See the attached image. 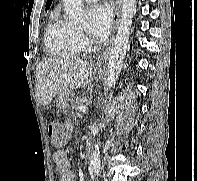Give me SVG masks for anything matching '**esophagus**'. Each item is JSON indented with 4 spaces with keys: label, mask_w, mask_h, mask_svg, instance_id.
<instances>
[{
    "label": "esophagus",
    "mask_w": 197,
    "mask_h": 181,
    "mask_svg": "<svg viewBox=\"0 0 197 181\" xmlns=\"http://www.w3.org/2000/svg\"><path fill=\"white\" fill-rule=\"evenodd\" d=\"M121 3H122V0H116L115 1V14H114V19H113V34L115 33L116 28H117L118 19H119V15H120V11H121ZM113 34H112V37L110 38V40L107 43V47L102 51V53L99 56V60L96 64L97 68H103L104 67V63L106 62V60L109 56V53H110V46L112 44Z\"/></svg>",
    "instance_id": "1"
}]
</instances>
